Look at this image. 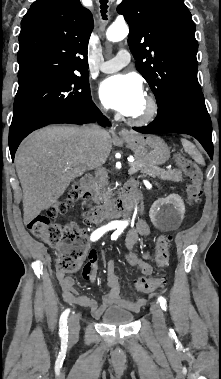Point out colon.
<instances>
[{
    "label": "colon",
    "mask_w": 221,
    "mask_h": 379,
    "mask_svg": "<svg viewBox=\"0 0 221 379\" xmlns=\"http://www.w3.org/2000/svg\"><path fill=\"white\" fill-rule=\"evenodd\" d=\"M177 163L183 174L189 179L187 198L190 204L200 202L202 197L203 174L199 166L183 157L177 158ZM90 193L81 186H73L64 200L50 206L44 214L37 215L28 223V229L37 238L59 250L58 270L64 273L78 271L83 262L89 257L87 250V236L83 229L74 223L58 224L51 221L52 217L62 215L74 203L87 204ZM89 214L85 219L89 220ZM171 238L161 235L155 245V261L160 268L168 265L170 259ZM88 264V263H87ZM85 275V274H83ZM162 283L158 277H139L134 281L135 289L140 293H150L157 290Z\"/></svg>",
    "instance_id": "1"
}]
</instances>
